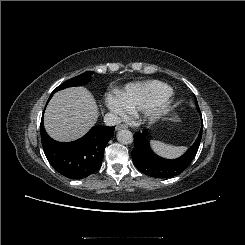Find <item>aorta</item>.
<instances>
[{
    "mask_svg": "<svg viewBox=\"0 0 245 245\" xmlns=\"http://www.w3.org/2000/svg\"><path fill=\"white\" fill-rule=\"evenodd\" d=\"M117 140L124 145L130 144L133 141V134L127 129H121L117 132Z\"/></svg>",
    "mask_w": 245,
    "mask_h": 245,
    "instance_id": "obj_1",
    "label": "aorta"
}]
</instances>
